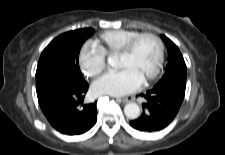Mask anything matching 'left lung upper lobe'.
I'll return each instance as SVG.
<instances>
[{"label": "left lung upper lobe", "instance_id": "left-lung-upper-lobe-1", "mask_svg": "<svg viewBox=\"0 0 225 155\" xmlns=\"http://www.w3.org/2000/svg\"><path fill=\"white\" fill-rule=\"evenodd\" d=\"M168 49V64L161 80L155 86H186V64L178 47L166 36L161 35Z\"/></svg>", "mask_w": 225, "mask_h": 155}]
</instances>
